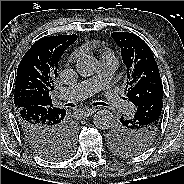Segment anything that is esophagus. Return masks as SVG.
Returning a JSON list of instances; mask_svg holds the SVG:
<instances>
[{
	"label": "esophagus",
	"mask_w": 184,
	"mask_h": 184,
	"mask_svg": "<svg viewBox=\"0 0 184 184\" xmlns=\"http://www.w3.org/2000/svg\"><path fill=\"white\" fill-rule=\"evenodd\" d=\"M96 108H87L85 110H82L81 111V114L84 115V116H89V115H92L96 112Z\"/></svg>",
	"instance_id": "34e87169"
}]
</instances>
